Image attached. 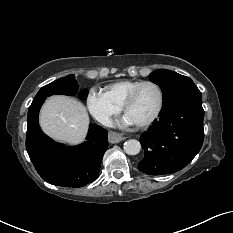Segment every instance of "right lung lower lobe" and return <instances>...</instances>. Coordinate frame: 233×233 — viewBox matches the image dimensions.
Here are the masks:
<instances>
[{"label": "right lung lower lobe", "instance_id": "right-lung-lower-lobe-1", "mask_svg": "<svg viewBox=\"0 0 233 233\" xmlns=\"http://www.w3.org/2000/svg\"><path fill=\"white\" fill-rule=\"evenodd\" d=\"M46 98L33 100L27 116L26 149L38 174L48 183L63 187H82L93 182L108 147L107 130L90 124L86 141L67 148L45 135L38 123L39 110ZM62 152L55 155L54 147Z\"/></svg>", "mask_w": 233, "mask_h": 233}]
</instances>
